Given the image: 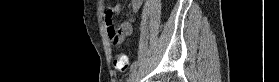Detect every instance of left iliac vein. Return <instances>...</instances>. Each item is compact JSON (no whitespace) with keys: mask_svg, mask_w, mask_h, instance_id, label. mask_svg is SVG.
<instances>
[{"mask_svg":"<svg viewBox=\"0 0 279 82\" xmlns=\"http://www.w3.org/2000/svg\"><path fill=\"white\" fill-rule=\"evenodd\" d=\"M139 78V72L137 70H133L130 74L128 82H137Z\"/></svg>","mask_w":279,"mask_h":82,"instance_id":"1","label":"left iliac vein"}]
</instances>
